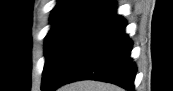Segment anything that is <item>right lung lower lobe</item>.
<instances>
[{"label": "right lung lower lobe", "instance_id": "obj_1", "mask_svg": "<svg viewBox=\"0 0 173 91\" xmlns=\"http://www.w3.org/2000/svg\"><path fill=\"white\" fill-rule=\"evenodd\" d=\"M126 21L116 13V5L86 22L73 37L42 82L43 91H52L77 80H99L134 90L137 72L130 53L132 41L125 33Z\"/></svg>", "mask_w": 173, "mask_h": 91}]
</instances>
